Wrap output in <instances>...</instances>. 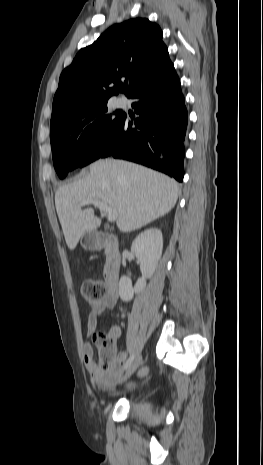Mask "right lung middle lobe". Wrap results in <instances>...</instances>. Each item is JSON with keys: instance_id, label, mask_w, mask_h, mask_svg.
I'll return each instance as SVG.
<instances>
[{"instance_id": "obj_1", "label": "right lung middle lobe", "mask_w": 263, "mask_h": 465, "mask_svg": "<svg viewBox=\"0 0 263 465\" xmlns=\"http://www.w3.org/2000/svg\"><path fill=\"white\" fill-rule=\"evenodd\" d=\"M107 113V101L76 109L51 123L50 140L55 170L61 179L76 167L101 157L123 115Z\"/></svg>"}]
</instances>
